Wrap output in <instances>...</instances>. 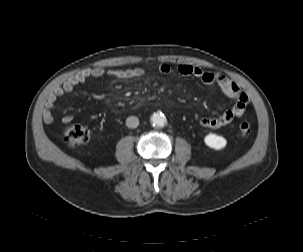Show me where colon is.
I'll return each instance as SVG.
<instances>
[{"instance_id": "5ec220e1", "label": "colon", "mask_w": 303, "mask_h": 252, "mask_svg": "<svg viewBox=\"0 0 303 252\" xmlns=\"http://www.w3.org/2000/svg\"><path fill=\"white\" fill-rule=\"evenodd\" d=\"M252 125L248 121H243L238 125V132L246 136L251 132ZM88 138V130L79 124H71L65 131V140L69 144H82Z\"/></svg>"}]
</instances>
